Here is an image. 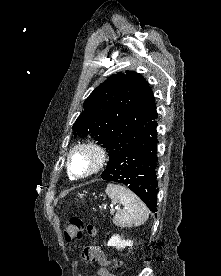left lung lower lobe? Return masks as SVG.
Instances as JSON below:
<instances>
[{
    "mask_svg": "<svg viewBox=\"0 0 221 276\" xmlns=\"http://www.w3.org/2000/svg\"><path fill=\"white\" fill-rule=\"evenodd\" d=\"M157 122L147 123L132 143L110 157L103 180L123 183L137 194L152 212L157 206Z\"/></svg>",
    "mask_w": 221,
    "mask_h": 276,
    "instance_id": "left-lung-lower-lobe-1",
    "label": "left lung lower lobe"
}]
</instances>
